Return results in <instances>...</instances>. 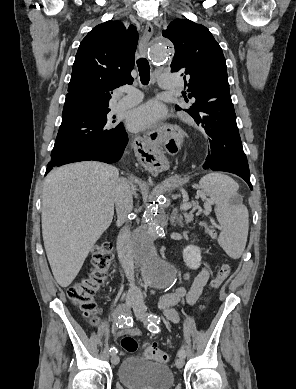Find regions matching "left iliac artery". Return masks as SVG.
I'll use <instances>...</instances> for the list:
<instances>
[{"mask_svg": "<svg viewBox=\"0 0 296 389\" xmlns=\"http://www.w3.org/2000/svg\"><path fill=\"white\" fill-rule=\"evenodd\" d=\"M148 329L150 332L152 333H158L159 332V328H158V325L159 322H160V318L157 316V315H154V314H149L148 315ZM178 356L179 357H185V350H184V347H181L180 350L178 351Z\"/></svg>", "mask_w": 296, "mask_h": 389, "instance_id": "44dca946", "label": "left iliac artery"}]
</instances>
